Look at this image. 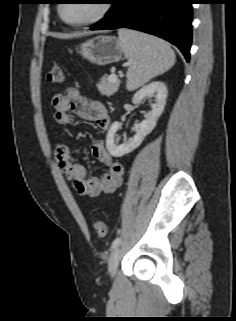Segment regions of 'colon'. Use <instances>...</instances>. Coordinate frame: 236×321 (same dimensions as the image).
I'll return each instance as SVG.
<instances>
[{"label": "colon", "instance_id": "5ec220e1", "mask_svg": "<svg viewBox=\"0 0 236 321\" xmlns=\"http://www.w3.org/2000/svg\"><path fill=\"white\" fill-rule=\"evenodd\" d=\"M64 80V73L61 66L55 65L47 74V82L52 85L62 83ZM93 229L95 233L100 237H105L107 234V225L101 219H96L93 222Z\"/></svg>", "mask_w": 236, "mask_h": 321}]
</instances>
